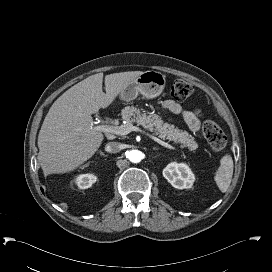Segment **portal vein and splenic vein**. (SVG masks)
<instances>
[{
	"instance_id": "18ae733b",
	"label": "portal vein and splenic vein",
	"mask_w": 272,
	"mask_h": 272,
	"mask_svg": "<svg viewBox=\"0 0 272 272\" xmlns=\"http://www.w3.org/2000/svg\"><path fill=\"white\" fill-rule=\"evenodd\" d=\"M96 130L105 132V133H111V134H116V135H127L132 131L135 132H140L142 134H145L146 136L150 137L160 145L164 146L165 148H168L170 150H177L176 147L168 144L167 142L162 141L161 139L157 138L156 136L140 129L137 126H133L132 124H125L121 126H114V125H99L95 127Z\"/></svg>"
}]
</instances>
